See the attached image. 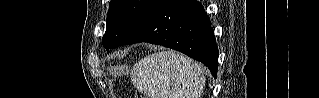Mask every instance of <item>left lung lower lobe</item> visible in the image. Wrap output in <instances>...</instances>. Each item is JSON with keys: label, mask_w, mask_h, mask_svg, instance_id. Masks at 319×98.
<instances>
[{"label": "left lung lower lobe", "mask_w": 319, "mask_h": 98, "mask_svg": "<svg viewBox=\"0 0 319 98\" xmlns=\"http://www.w3.org/2000/svg\"><path fill=\"white\" fill-rule=\"evenodd\" d=\"M163 45L201 61L217 77L218 49L209 18L196 0H157L125 42Z\"/></svg>", "instance_id": "left-lung-lower-lobe-1"}]
</instances>
